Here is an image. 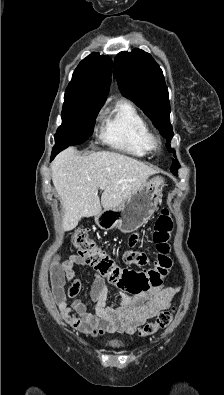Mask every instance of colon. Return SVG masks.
Wrapping results in <instances>:
<instances>
[{"label":"colon","instance_id":"colon-1","mask_svg":"<svg viewBox=\"0 0 224 395\" xmlns=\"http://www.w3.org/2000/svg\"><path fill=\"white\" fill-rule=\"evenodd\" d=\"M173 229L174 224L169 211L163 209L156 221L152 236L159 252L157 263L145 272L120 266L94 242L86 230H76L72 234L71 240L85 263L93 266L122 289L132 294H139L158 285L163 278L169 275L173 265L168 256L169 241ZM173 316L174 309L160 312L155 321L142 326L139 334L143 337L153 335L160 329L167 327L172 322Z\"/></svg>","mask_w":224,"mask_h":395}]
</instances>
